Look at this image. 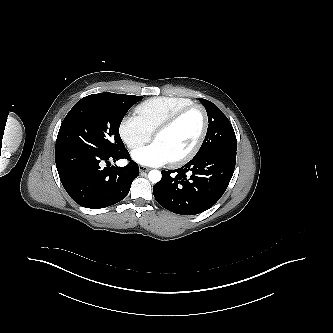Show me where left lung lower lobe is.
Listing matches in <instances>:
<instances>
[{
    "mask_svg": "<svg viewBox=\"0 0 333 333\" xmlns=\"http://www.w3.org/2000/svg\"><path fill=\"white\" fill-rule=\"evenodd\" d=\"M235 163L236 150L232 149L195 156L179 169L162 171V179L153 187L154 197L171 212L181 215L202 213L211 208L227 189Z\"/></svg>",
    "mask_w": 333,
    "mask_h": 333,
    "instance_id": "1",
    "label": "left lung lower lobe"
}]
</instances>
